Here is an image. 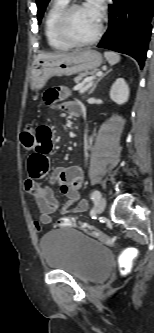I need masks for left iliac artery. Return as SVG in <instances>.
<instances>
[{
	"label": "left iliac artery",
	"instance_id": "1",
	"mask_svg": "<svg viewBox=\"0 0 154 333\" xmlns=\"http://www.w3.org/2000/svg\"><path fill=\"white\" fill-rule=\"evenodd\" d=\"M101 197V193L98 191V190H94L92 192V195H91V199L94 201V202H98L99 199Z\"/></svg>",
	"mask_w": 154,
	"mask_h": 333
}]
</instances>
